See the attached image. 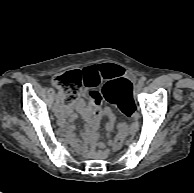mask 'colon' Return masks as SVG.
Wrapping results in <instances>:
<instances>
[{"mask_svg": "<svg viewBox=\"0 0 194 193\" xmlns=\"http://www.w3.org/2000/svg\"><path fill=\"white\" fill-rule=\"evenodd\" d=\"M56 83L62 88L64 92L65 101L67 103L73 102L81 91V88L84 84V74L79 70H71L65 72L64 74L56 78ZM131 83L125 78H118L110 83L104 88V97L107 99H114L116 92L119 89H130ZM100 100V96H99ZM133 110L129 113L131 114ZM127 135L126 129L122 128L115 136V139L112 144V149L117 151L119 150Z\"/></svg>", "mask_w": 194, "mask_h": 193, "instance_id": "obj_1", "label": "colon"}]
</instances>
